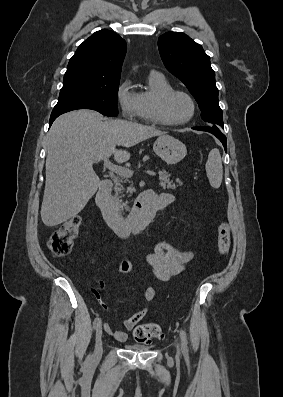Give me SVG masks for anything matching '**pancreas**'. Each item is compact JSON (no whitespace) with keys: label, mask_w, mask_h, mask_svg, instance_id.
I'll use <instances>...</instances> for the list:
<instances>
[{"label":"pancreas","mask_w":283,"mask_h":397,"mask_svg":"<svg viewBox=\"0 0 283 397\" xmlns=\"http://www.w3.org/2000/svg\"><path fill=\"white\" fill-rule=\"evenodd\" d=\"M159 180H160V183H159L160 186L163 187L164 189H166V188L175 189L177 187V185L173 182V180L170 179V175L165 170L159 171ZM126 182H128V179H126L124 177H119L115 181L114 201L119 206L121 211L123 210L124 207L127 210L129 209L127 206L128 202H123L122 198L130 197V194H132L134 192V188L132 186H130L127 188L126 194H124L123 183H126ZM176 182L179 183V186L183 185V183L179 179H177Z\"/></svg>","instance_id":"1"}]
</instances>
